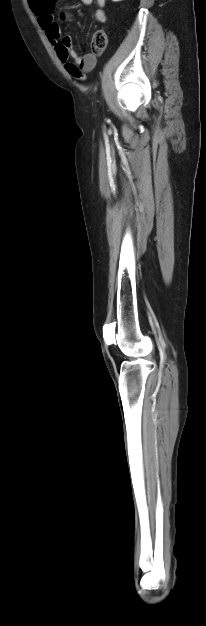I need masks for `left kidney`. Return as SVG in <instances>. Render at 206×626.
<instances>
[{"instance_id":"obj_1","label":"left kidney","mask_w":206,"mask_h":626,"mask_svg":"<svg viewBox=\"0 0 206 626\" xmlns=\"http://www.w3.org/2000/svg\"><path fill=\"white\" fill-rule=\"evenodd\" d=\"M112 1H113V2H119V1H122V0H112Z\"/></svg>"}]
</instances>
